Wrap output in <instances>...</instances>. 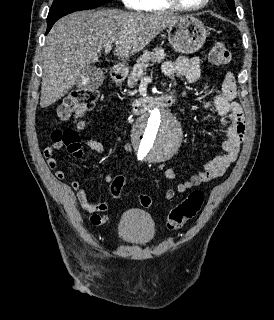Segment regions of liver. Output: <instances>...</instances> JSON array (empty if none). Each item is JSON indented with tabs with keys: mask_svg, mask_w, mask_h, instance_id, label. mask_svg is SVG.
Instances as JSON below:
<instances>
[{
	"mask_svg": "<svg viewBox=\"0 0 274 320\" xmlns=\"http://www.w3.org/2000/svg\"><path fill=\"white\" fill-rule=\"evenodd\" d=\"M182 16L139 14L123 10H86L58 20L43 48L41 108H48L73 88L88 64L99 62L101 50L115 44L114 56L129 60L162 30Z\"/></svg>",
	"mask_w": 274,
	"mask_h": 320,
	"instance_id": "obj_1",
	"label": "liver"
}]
</instances>
